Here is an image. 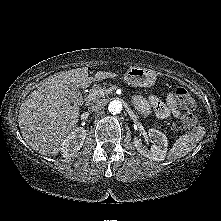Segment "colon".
Instances as JSON below:
<instances>
[{
  "label": "colon",
  "mask_w": 221,
  "mask_h": 221,
  "mask_svg": "<svg viewBox=\"0 0 221 221\" xmlns=\"http://www.w3.org/2000/svg\"><path fill=\"white\" fill-rule=\"evenodd\" d=\"M174 100L176 106L184 111L181 118L182 127L185 129H192L197 125V118L193 114L195 109V102L191 95L184 88H178L174 93Z\"/></svg>",
  "instance_id": "obj_1"
}]
</instances>
